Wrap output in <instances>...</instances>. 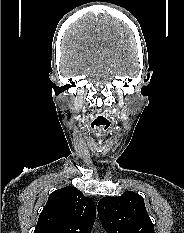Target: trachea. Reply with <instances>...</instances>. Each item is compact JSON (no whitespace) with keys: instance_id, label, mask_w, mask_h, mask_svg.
<instances>
[{"instance_id":"3493384b","label":"trachea","mask_w":184,"mask_h":233,"mask_svg":"<svg viewBox=\"0 0 184 233\" xmlns=\"http://www.w3.org/2000/svg\"><path fill=\"white\" fill-rule=\"evenodd\" d=\"M104 134H105V132H102L101 130H98V132H96V135H97L99 141H102Z\"/></svg>"}]
</instances>
